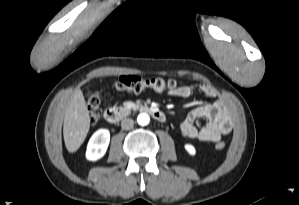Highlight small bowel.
Instances as JSON below:
<instances>
[{
	"mask_svg": "<svg viewBox=\"0 0 299 205\" xmlns=\"http://www.w3.org/2000/svg\"><path fill=\"white\" fill-rule=\"evenodd\" d=\"M195 92L209 98L218 96L217 91L206 83L181 85L170 93L176 97L188 98ZM199 119H206V124L197 126L196 121ZM231 129V115L226 102L221 98L196 108L180 124V131L184 136L208 142L219 141L222 136L230 133Z\"/></svg>",
	"mask_w": 299,
	"mask_h": 205,
	"instance_id": "obj_1",
	"label": "small bowel"
}]
</instances>
